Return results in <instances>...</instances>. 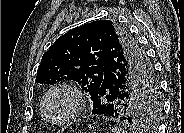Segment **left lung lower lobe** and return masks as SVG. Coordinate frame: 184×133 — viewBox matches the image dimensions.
Listing matches in <instances>:
<instances>
[{"label": "left lung lower lobe", "instance_id": "obj_1", "mask_svg": "<svg viewBox=\"0 0 184 133\" xmlns=\"http://www.w3.org/2000/svg\"><path fill=\"white\" fill-rule=\"evenodd\" d=\"M141 86L145 94H153L152 86L148 81H143ZM127 95V76L123 66L117 62V58L112 60L110 58L105 64L104 80L92 98V113L118 118L121 104Z\"/></svg>", "mask_w": 184, "mask_h": 133}]
</instances>
